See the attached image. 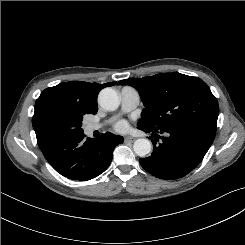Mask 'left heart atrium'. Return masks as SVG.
I'll use <instances>...</instances> for the list:
<instances>
[{"label":"left heart atrium","instance_id":"1","mask_svg":"<svg viewBox=\"0 0 245 245\" xmlns=\"http://www.w3.org/2000/svg\"><path fill=\"white\" fill-rule=\"evenodd\" d=\"M115 129L117 131L120 132H124L128 129V124L126 121H119L116 125H115Z\"/></svg>","mask_w":245,"mask_h":245}]
</instances>
